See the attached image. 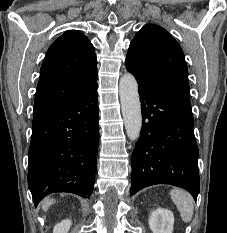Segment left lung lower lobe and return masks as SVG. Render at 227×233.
<instances>
[{
    "instance_id": "obj_1",
    "label": "left lung lower lobe",
    "mask_w": 227,
    "mask_h": 233,
    "mask_svg": "<svg viewBox=\"0 0 227 233\" xmlns=\"http://www.w3.org/2000/svg\"><path fill=\"white\" fill-rule=\"evenodd\" d=\"M138 90L143 121L132 154L130 194L171 184L186 189L196 200L200 178L191 105L143 85Z\"/></svg>"
}]
</instances>
